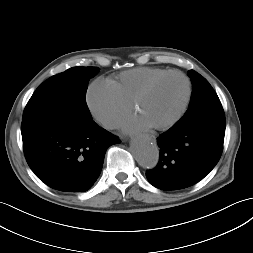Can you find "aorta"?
Masks as SVG:
<instances>
[{
  "mask_svg": "<svg viewBox=\"0 0 253 253\" xmlns=\"http://www.w3.org/2000/svg\"><path fill=\"white\" fill-rule=\"evenodd\" d=\"M131 152L136 161L144 168L152 169L159 161V148L154 139L147 136L135 138L131 143Z\"/></svg>",
  "mask_w": 253,
  "mask_h": 253,
  "instance_id": "obj_1",
  "label": "aorta"
}]
</instances>
